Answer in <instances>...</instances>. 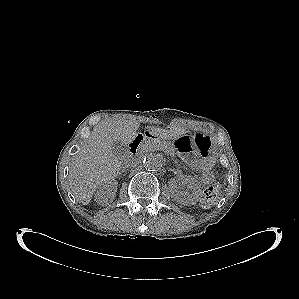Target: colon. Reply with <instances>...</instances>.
I'll use <instances>...</instances> for the list:
<instances>
[{"label":"colon","instance_id":"5ec220e1","mask_svg":"<svg viewBox=\"0 0 299 299\" xmlns=\"http://www.w3.org/2000/svg\"><path fill=\"white\" fill-rule=\"evenodd\" d=\"M202 181L207 186L204 188L201 194V203L204 206L212 205L218 195V186L214 183V175L211 171H206L202 175Z\"/></svg>","mask_w":299,"mask_h":299}]
</instances>
